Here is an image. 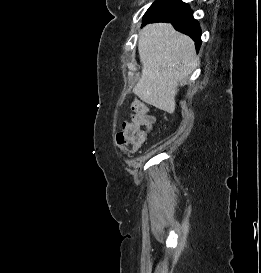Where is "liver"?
<instances>
[{
    "mask_svg": "<svg viewBox=\"0 0 261 273\" xmlns=\"http://www.w3.org/2000/svg\"><path fill=\"white\" fill-rule=\"evenodd\" d=\"M138 52L142 74L134 93L145 103L174 113L179 83L199 65L195 43L171 24L154 23L140 31Z\"/></svg>",
    "mask_w": 261,
    "mask_h": 273,
    "instance_id": "1",
    "label": "liver"
}]
</instances>
